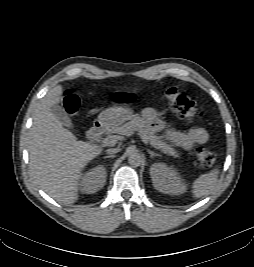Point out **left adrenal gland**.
I'll return each mask as SVG.
<instances>
[{
  "instance_id": "a2214340",
  "label": "left adrenal gland",
  "mask_w": 254,
  "mask_h": 267,
  "mask_svg": "<svg viewBox=\"0 0 254 267\" xmlns=\"http://www.w3.org/2000/svg\"><path fill=\"white\" fill-rule=\"evenodd\" d=\"M147 152L150 154V158L160 156L159 154H157V153H155V152H153V151H151L149 149L147 150Z\"/></svg>"
}]
</instances>
